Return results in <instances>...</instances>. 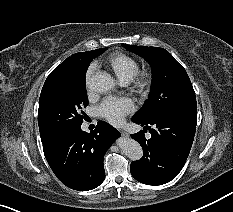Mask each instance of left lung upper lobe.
I'll return each instance as SVG.
<instances>
[{"label":"left lung upper lobe","mask_w":233,"mask_h":212,"mask_svg":"<svg viewBox=\"0 0 233 212\" xmlns=\"http://www.w3.org/2000/svg\"><path fill=\"white\" fill-rule=\"evenodd\" d=\"M146 59L152 69L149 98L133 116L148 121L161 114H175L197 118V103L191 81L183 68L165 49L122 44Z\"/></svg>","instance_id":"5c2ea615"}]
</instances>
